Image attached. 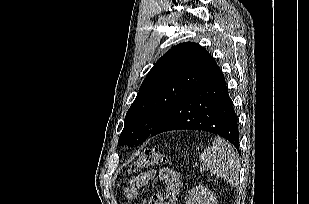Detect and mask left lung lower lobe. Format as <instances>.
<instances>
[{"mask_svg": "<svg viewBox=\"0 0 309 204\" xmlns=\"http://www.w3.org/2000/svg\"><path fill=\"white\" fill-rule=\"evenodd\" d=\"M182 129L220 135L239 152L238 118L221 71L173 105L147 138Z\"/></svg>", "mask_w": 309, "mask_h": 204, "instance_id": "left-lung-lower-lobe-1", "label": "left lung lower lobe"}]
</instances>
